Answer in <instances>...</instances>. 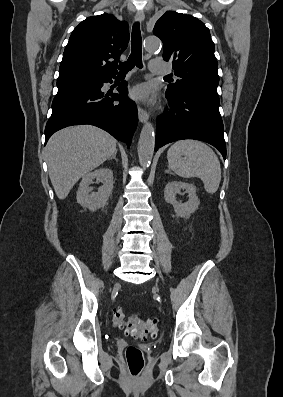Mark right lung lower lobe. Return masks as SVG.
<instances>
[{
  "label": "right lung lower lobe",
  "mask_w": 283,
  "mask_h": 397,
  "mask_svg": "<svg viewBox=\"0 0 283 397\" xmlns=\"http://www.w3.org/2000/svg\"><path fill=\"white\" fill-rule=\"evenodd\" d=\"M111 78L114 76L58 89L52 102V115L45 127V143L62 128L91 124L130 147L138 122L137 108L126 96V82L119 85V93L111 97L101 91L103 83H111Z\"/></svg>",
  "instance_id": "1"
}]
</instances>
